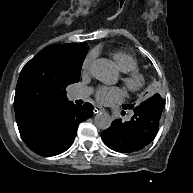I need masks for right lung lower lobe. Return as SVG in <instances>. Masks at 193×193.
<instances>
[{"instance_id": "obj_1", "label": "right lung lower lobe", "mask_w": 193, "mask_h": 193, "mask_svg": "<svg viewBox=\"0 0 193 193\" xmlns=\"http://www.w3.org/2000/svg\"><path fill=\"white\" fill-rule=\"evenodd\" d=\"M92 110L91 104L71 105L52 121L19 129V132L32 151L42 156H54L72 145L79 123L91 117Z\"/></svg>"}]
</instances>
